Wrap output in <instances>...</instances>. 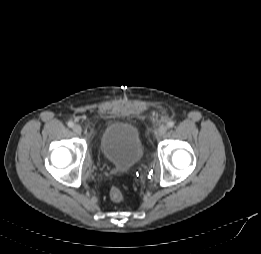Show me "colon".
<instances>
[{
    "label": "colon",
    "instance_id": "obj_1",
    "mask_svg": "<svg viewBox=\"0 0 261 254\" xmlns=\"http://www.w3.org/2000/svg\"><path fill=\"white\" fill-rule=\"evenodd\" d=\"M110 199L114 202H121L124 199L122 191L117 187H112L109 192Z\"/></svg>",
    "mask_w": 261,
    "mask_h": 254
}]
</instances>
